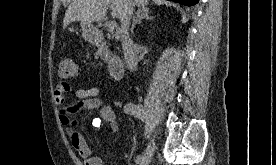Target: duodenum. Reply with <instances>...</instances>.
Masks as SVG:
<instances>
[{
    "instance_id": "410a0bca",
    "label": "duodenum",
    "mask_w": 276,
    "mask_h": 165,
    "mask_svg": "<svg viewBox=\"0 0 276 165\" xmlns=\"http://www.w3.org/2000/svg\"><path fill=\"white\" fill-rule=\"evenodd\" d=\"M91 41L103 52L109 54L108 68L111 78L113 80L121 79L125 71V65L122 57L109 49V46L107 45L105 38L101 33L92 34Z\"/></svg>"
}]
</instances>
